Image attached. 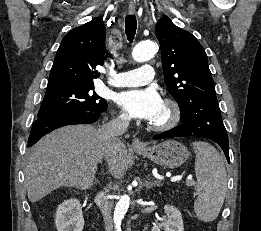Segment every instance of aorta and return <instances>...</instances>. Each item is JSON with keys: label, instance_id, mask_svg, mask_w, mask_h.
<instances>
[{"label": "aorta", "instance_id": "aorta-1", "mask_svg": "<svg viewBox=\"0 0 261 231\" xmlns=\"http://www.w3.org/2000/svg\"><path fill=\"white\" fill-rule=\"evenodd\" d=\"M157 49V45L153 41H143L134 47L132 57L137 62H145L154 57ZM129 205L130 197L128 195H123L118 200L114 210V223L116 231H121V222L127 213Z\"/></svg>", "mask_w": 261, "mask_h": 231}]
</instances>
